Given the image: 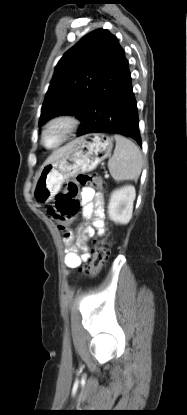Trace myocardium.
Masks as SVG:
<instances>
[{
  "instance_id": "1",
  "label": "myocardium",
  "mask_w": 187,
  "mask_h": 415,
  "mask_svg": "<svg viewBox=\"0 0 187 415\" xmlns=\"http://www.w3.org/2000/svg\"><path fill=\"white\" fill-rule=\"evenodd\" d=\"M78 125L79 120L73 115L58 114L51 117L43 125L41 130L40 142L42 146H44L47 149H55L62 146L70 139V137L76 131ZM55 127H59L61 129V134L55 143L49 145L46 143V136L48 132Z\"/></svg>"
}]
</instances>
